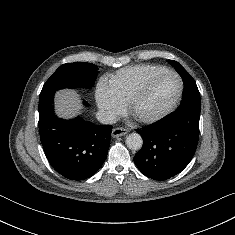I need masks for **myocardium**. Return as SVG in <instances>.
Listing matches in <instances>:
<instances>
[{"mask_svg": "<svg viewBox=\"0 0 235 235\" xmlns=\"http://www.w3.org/2000/svg\"><path fill=\"white\" fill-rule=\"evenodd\" d=\"M164 76H173L178 80L179 90H178L176 98L165 110H163L162 112H160L157 115H154L151 117H137L135 115V109H136L137 105L145 97L151 84L155 80H157L161 77H164ZM183 92H184V82H183L182 78L176 72L165 70V71L153 74L143 83V85L140 87V89L129 100V102L126 105V114L133 122H135L137 124H142V125L154 124V123L164 119L165 117H167L169 114H171L177 108V106L179 105V103L182 99Z\"/></svg>", "mask_w": 235, "mask_h": 235, "instance_id": "1", "label": "myocardium"}]
</instances>
